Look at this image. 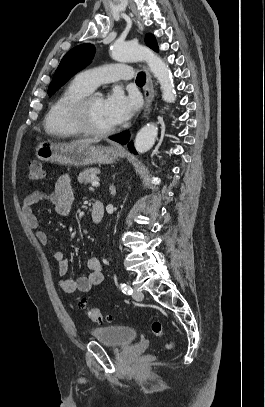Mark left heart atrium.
Listing matches in <instances>:
<instances>
[{
  "label": "left heart atrium",
  "instance_id": "39dd6f15",
  "mask_svg": "<svg viewBox=\"0 0 265 407\" xmlns=\"http://www.w3.org/2000/svg\"><path fill=\"white\" fill-rule=\"evenodd\" d=\"M104 106L111 123L117 126L133 116L139 102L136 96L127 97L121 91H114L104 99Z\"/></svg>",
  "mask_w": 265,
  "mask_h": 407
}]
</instances>
